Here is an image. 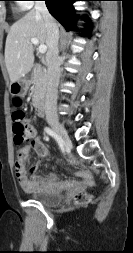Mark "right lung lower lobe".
<instances>
[{
    "instance_id": "right-lung-lower-lobe-1",
    "label": "right lung lower lobe",
    "mask_w": 133,
    "mask_h": 253,
    "mask_svg": "<svg viewBox=\"0 0 133 253\" xmlns=\"http://www.w3.org/2000/svg\"><path fill=\"white\" fill-rule=\"evenodd\" d=\"M77 0H45L50 14L56 18L66 30L75 29V13L73 3ZM89 34V28L84 29Z\"/></svg>"
}]
</instances>
